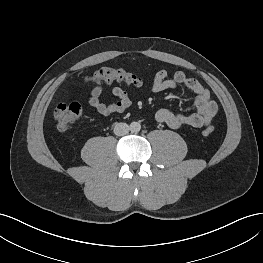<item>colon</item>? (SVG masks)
<instances>
[{
	"instance_id": "5ec220e1",
	"label": "colon",
	"mask_w": 263,
	"mask_h": 263,
	"mask_svg": "<svg viewBox=\"0 0 263 263\" xmlns=\"http://www.w3.org/2000/svg\"><path fill=\"white\" fill-rule=\"evenodd\" d=\"M87 80L97 84H123L129 87H140L143 84L141 77L116 67H102ZM81 112L82 106L78 102L58 104L53 115L57 130L60 132L70 130ZM213 132V127H207L204 130L205 135H211Z\"/></svg>"
}]
</instances>
